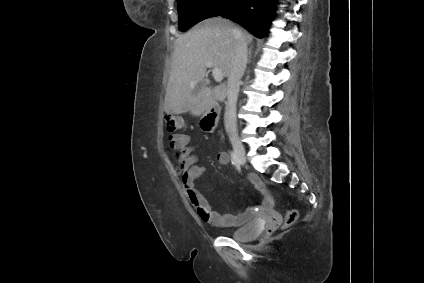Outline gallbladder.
I'll return each mask as SVG.
<instances>
[{
    "label": "gallbladder",
    "mask_w": 424,
    "mask_h": 283,
    "mask_svg": "<svg viewBox=\"0 0 424 283\" xmlns=\"http://www.w3.org/2000/svg\"><path fill=\"white\" fill-rule=\"evenodd\" d=\"M203 82L201 81V82H199L198 83V85H197V87L195 88V90H193L192 91V93L194 94V95H196L200 90H201V88H202V86H203Z\"/></svg>",
    "instance_id": "obj_1"
}]
</instances>
